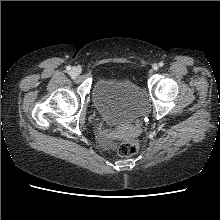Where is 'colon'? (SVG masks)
<instances>
[{
    "mask_svg": "<svg viewBox=\"0 0 220 220\" xmlns=\"http://www.w3.org/2000/svg\"><path fill=\"white\" fill-rule=\"evenodd\" d=\"M137 144L133 141H124L121 142L117 147H116V153L120 157H130L134 155L137 152Z\"/></svg>",
    "mask_w": 220,
    "mask_h": 220,
    "instance_id": "5ec220e1",
    "label": "colon"
}]
</instances>
